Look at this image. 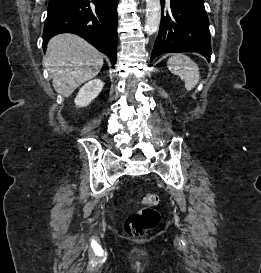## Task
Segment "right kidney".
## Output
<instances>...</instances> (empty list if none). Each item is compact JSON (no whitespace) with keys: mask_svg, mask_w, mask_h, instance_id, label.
<instances>
[{"mask_svg":"<svg viewBox=\"0 0 261 273\" xmlns=\"http://www.w3.org/2000/svg\"><path fill=\"white\" fill-rule=\"evenodd\" d=\"M104 83L100 79H93L82 86L74 102L78 107L89 105L102 91Z\"/></svg>","mask_w":261,"mask_h":273,"instance_id":"right-kidney-1","label":"right kidney"}]
</instances>
